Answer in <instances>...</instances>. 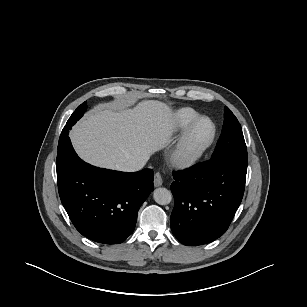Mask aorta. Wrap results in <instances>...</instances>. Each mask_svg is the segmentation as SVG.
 Returning <instances> with one entry per match:
<instances>
[{"label":"aorta","mask_w":307,"mask_h":307,"mask_svg":"<svg viewBox=\"0 0 307 307\" xmlns=\"http://www.w3.org/2000/svg\"><path fill=\"white\" fill-rule=\"evenodd\" d=\"M153 198L159 205H167L172 200V194L166 188H157L153 192Z\"/></svg>","instance_id":"1"}]
</instances>
